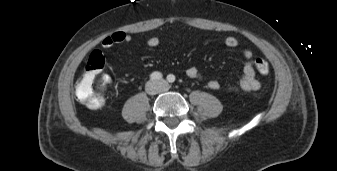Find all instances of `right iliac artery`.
I'll return each mask as SVG.
<instances>
[{"label":"right iliac artery","mask_w":337,"mask_h":171,"mask_svg":"<svg viewBox=\"0 0 337 171\" xmlns=\"http://www.w3.org/2000/svg\"><path fill=\"white\" fill-rule=\"evenodd\" d=\"M150 79L151 80H155V81H157V80H160V79H162V74L160 73V72H153L151 75H150Z\"/></svg>","instance_id":"1"}]
</instances>
